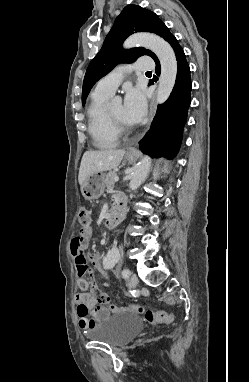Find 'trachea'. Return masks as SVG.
Instances as JSON below:
<instances>
[{
	"label": "trachea",
	"instance_id": "3493384b",
	"mask_svg": "<svg viewBox=\"0 0 249 382\" xmlns=\"http://www.w3.org/2000/svg\"><path fill=\"white\" fill-rule=\"evenodd\" d=\"M146 73H147V74H152V72H150V71H149V72H146Z\"/></svg>",
	"mask_w": 249,
	"mask_h": 382
}]
</instances>
